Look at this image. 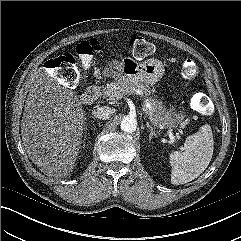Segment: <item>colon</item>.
<instances>
[{
    "instance_id": "1",
    "label": "colon",
    "mask_w": 241,
    "mask_h": 241,
    "mask_svg": "<svg viewBox=\"0 0 241 241\" xmlns=\"http://www.w3.org/2000/svg\"><path fill=\"white\" fill-rule=\"evenodd\" d=\"M93 43L95 42L91 41L90 44ZM129 44L133 56L136 57H145L152 54L154 51L153 44L141 36L130 39ZM77 55V51L72 54L66 53L48 60L45 63V67L69 86H74L80 78V72L76 65ZM197 70V65L192 59H186L182 64V75L187 81L194 79ZM190 103L191 107L197 112L203 113L208 110V99L201 94H194Z\"/></svg>"
}]
</instances>
